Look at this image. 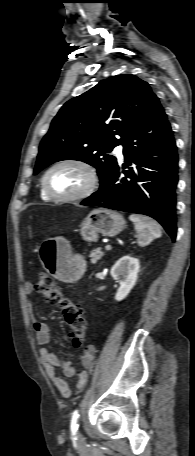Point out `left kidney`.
Returning <instances> with one entry per match:
<instances>
[{
	"label": "left kidney",
	"instance_id": "1",
	"mask_svg": "<svg viewBox=\"0 0 195 456\" xmlns=\"http://www.w3.org/2000/svg\"><path fill=\"white\" fill-rule=\"evenodd\" d=\"M139 270V260L129 255L121 257L111 268L110 273L112 278L120 284L115 295L116 301L125 299L130 293L136 284Z\"/></svg>",
	"mask_w": 195,
	"mask_h": 456
}]
</instances>
